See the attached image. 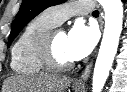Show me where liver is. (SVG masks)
<instances>
[{"instance_id": "liver-1", "label": "liver", "mask_w": 127, "mask_h": 92, "mask_svg": "<svg viewBox=\"0 0 127 92\" xmlns=\"http://www.w3.org/2000/svg\"><path fill=\"white\" fill-rule=\"evenodd\" d=\"M70 85L67 78L45 76H13L4 81L2 92H65Z\"/></svg>"}]
</instances>
